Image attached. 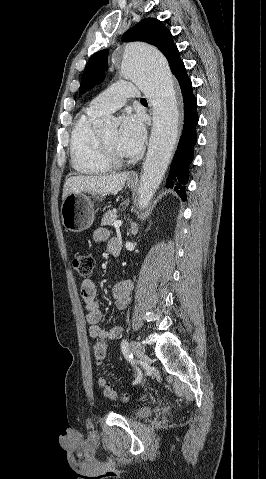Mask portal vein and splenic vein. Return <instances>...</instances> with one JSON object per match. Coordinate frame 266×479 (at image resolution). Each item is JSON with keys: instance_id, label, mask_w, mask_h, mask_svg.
Masks as SVG:
<instances>
[{"instance_id": "18ae733b", "label": "portal vein and splenic vein", "mask_w": 266, "mask_h": 479, "mask_svg": "<svg viewBox=\"0 0 266 479\" xmlns=\"http://www.w3.org/2000/svg\"><path fill=\"white\" fill-rule=\"evenodd\" d=\"M121 225H122V221H120V220L115 221V222L113 223V226H114L115 228H119Z\"/></svg>"}]
</instances>
